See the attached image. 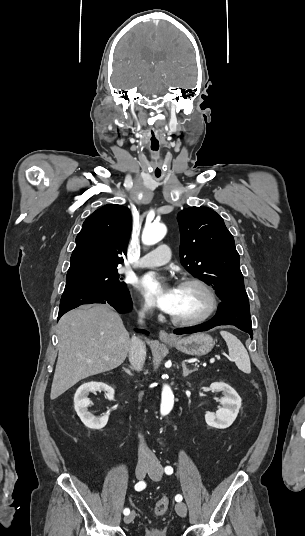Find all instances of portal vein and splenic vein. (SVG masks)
Here are the masks:
<instances>
[{
  "label": "portal vein and splenic vein",
  "instance_id": "obj_1",
  "mask_svg": "<svg viewBox=\"0 0 305 536\" xmlns=\"http://www.w3.org/2000/svg\"><path fill=\"white\" fill-rule=\"evenodd\" d=\"M213 362H215V358H211L210 364H213Z\"/></svg>",
  "mask_w": 305,
  "mask_h": 536
}]
</instances>
